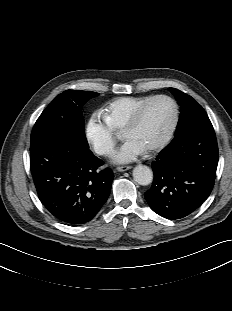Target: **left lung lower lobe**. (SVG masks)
Here are the masks:
<instances>
[{"label":"left lung lower lobe","mask_w":232,"mask_h":311,"mask_svg":"<svg viewBox=\"0 0 232 311\" xmlns=\"http://www.w3.org/2000/svg\"><path fill=\"white\" fill-rule=\"evenodd\" d=\"M218 147L208 119L175 133L152 163L154 181L145 198L158 215L175 220L195 211L210 195Z\"/></svg>","instance_id":"0a47b994"}]
</instances>
